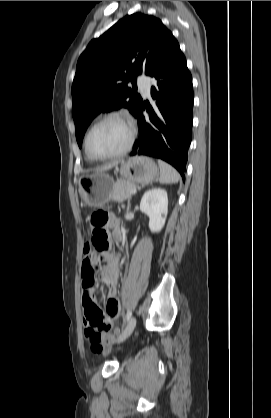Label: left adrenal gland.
I'll return each mask as SVG.
<instances>
[{
	"label": "left adrenal gland",
	"instance_id": "obj_1",
	"mask_svg": "<svg viewBox=\"0 0 271 418\" xmlns=\"http://www.w3.org/2000/svg\"><path fill=\"white\" fill-rule=\"evenodd\" d=\"M130 210V200L128 201V205H127V212Z\"/></svg>",
	"mask_w": 271,
	"mask_h": 418
}]
</instances>
